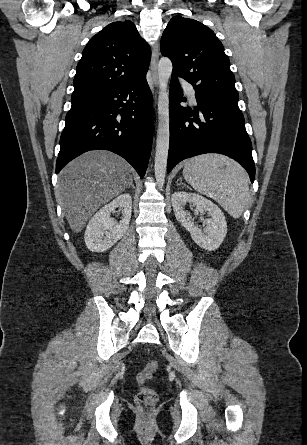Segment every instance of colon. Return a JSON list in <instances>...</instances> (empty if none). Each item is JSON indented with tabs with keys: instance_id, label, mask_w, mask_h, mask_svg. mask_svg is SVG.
<instances>
[{
	"instance_id": "colon-1",
	"label": "colon",
	"mask_w": 307,
	"mask_h": 445,
	"mask_svg": "<svg viewBox=\"0 0 307 445\" xmlns=\"http://www.w3.org/2000/svg\"><path fill=\"white\" fill-rule=\"evenodd\" d=\"M156 368V361L151 360L137 374L136 379L140 388L136 395V402L141 408L150 409L156 404L158 400L157 392L154 389L144 385L145 382L152 377Z\"/></svg>"
}]
</instances>
